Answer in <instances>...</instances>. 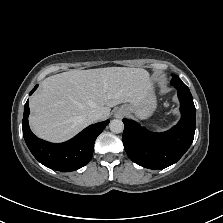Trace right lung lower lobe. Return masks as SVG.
<instances>
[{"label": "right lung lower lobe", "mask_w": 223, "mask_h": 223, "mask_svg": "<svg viewBox=\"0 0 223 223\" xmlns=\"http://www.w3.org/2000/svg\"><path fill=\"white\" fill-rule=\"evenodd\" d=\"M37 85L30 92L36 90ZM29 102L24 106L23 115V137L34 157L44 166L62 172L77 170L91 160L94 142L97 136L104 130L109 120L96 123L84 129L73 139L53 144L37 138L30 130L28 123Z\"/></svg>", "instance_id": "right-lung-lower-lobe-1"}]
</instances>
